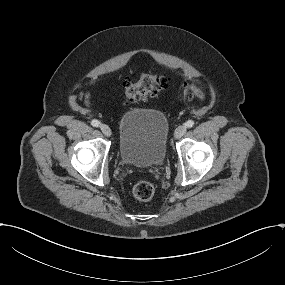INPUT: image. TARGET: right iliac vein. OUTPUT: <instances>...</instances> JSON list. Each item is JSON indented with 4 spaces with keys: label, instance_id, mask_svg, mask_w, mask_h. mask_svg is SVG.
I'll use <instances>...</instances> for the list:
<instances>
[{
    "label": "right iliac vein",
    "instance_id": "obj_1",
    "mask_svg": "<svg viewBox=\"0 0 285 285\" xmlns=\"http://www.w3.org/2000/svg\"><path fill=\"white\" fill-rule=\"evenodd\" d=\"M100 129H101L102 133L106 137H110L111 136V129H110V127L108 125L102 124V125H100Z\"/></svg>",
    "mask_w": 285,
    "mask_h": 285
}]
</instances>
